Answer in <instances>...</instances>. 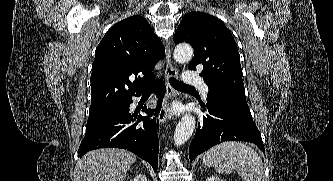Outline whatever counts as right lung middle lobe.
<instances>
[{
	"label": "right lung middle lobe",
	"mask_w": 333,
	"mask_h": 181,
	"mask_svg": "<svg viewBox=\"0 0 333 181\" xmlns=\"http://www.w3.org/2000/svg\"><path fill=\"white\" fill-rule=\"evenodd\" d=\"M121 103H116V104L106 106V107H103V108H99V109H95V110H89L88 122L92 121V120H95V119H98V118L102 117L103 115L108 114L111 110H113L114 108L119 106Z\"/></svg>",
	"instance_id": "dd1d6c3e"
}]
</instances>
